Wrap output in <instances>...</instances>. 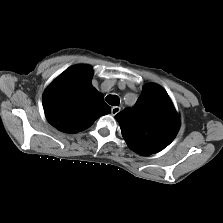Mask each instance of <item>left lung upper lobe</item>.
Returning a JSON list of instances; mask_svg holds the SVG:
<instances>
[{"label": "left lung upper lobe", "instance_id": "1", "mask_svg": "<svg viewBox=\"0 0 223 223\" xmlns=\"http://www.w3.org/2000/svg\"><path fill=\"white\" fill-rule=\"evenodd\" d=\"M115 117L129 148L141 155L163 150L180 126L167 92L156 84L145 85L135 106L125 108Z\"/></svg>", "mask_w": 223, "mask_h": 223}]
</instances>
